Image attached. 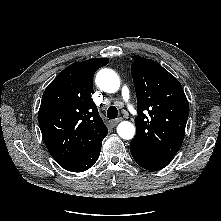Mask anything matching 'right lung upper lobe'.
Here are the masks:
<instances>
[{
	"label": "right lung upper lobe",
	"instance_id": "cb5924a9",
	"mask_svg": "<svg viewBox=\"0 0 221 221\" xmlns=\"http://www.w3.org/2000/svg\"><path fill=\"white\" fill-rule=\"evenodd\" d=\"M108 62V58H94L73 63L43 93L39 126L49 153L61 167L108 132L90 97L94 73Z\"/></svg>",
	"mask_w": 221,
	"mask_h": 221
}]
</instances>
